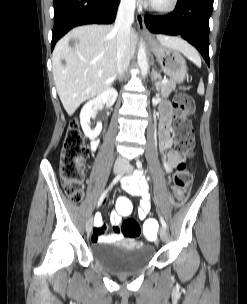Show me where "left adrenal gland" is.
Segmentation results:
<instances>
[{
  "mask_svg": "<svg viewBox=\"0 0 247 304\" xmlns=\"http://www.w3.org/2000/svg\"><path fill=\"white\" fill-rule=\"evenodd\" d=\"M155 89L159 91L162 82V77L155 69L152 70Z\"/></svg>",
  "mask_w": 247,
  "mask_h": 304,
  "instance_id": "obj_1",
  "label": "left adrenal gland"
}]
</instances>
